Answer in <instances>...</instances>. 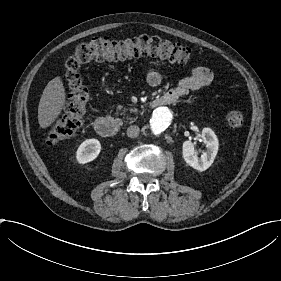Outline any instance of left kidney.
Listing matches in <instances>:
<instances>
[{
  "mask_svg": "<svg viewBox=\"0 0 281 281\" xmlns=\"http://www.w3.org/2000/svg\"><path fill=\"white\" fill-rule=\"evenodd\" d=\"M201 136L206 150L202 152L200 157L195 155L194 144L189 140L183 143L182 153L184 161L190 167L203 172L212 165L215 159L218 152V140L214 132L208 128L203 129Z\"/></svg>",
  "mask_w": 281,
  "mask_h": 281,
  "instance_id": "5707ae66",
  "label": "left kidney"
}]
</instances>
